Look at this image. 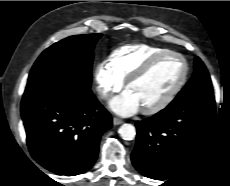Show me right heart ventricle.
<instances>
[{
	"instance_id": "e07e8e85",
	"label": "right heart ventricle",
	"mask_w": 230,
	"mask_h": 186,
	"mask_svg": "<svg viewBox=\"0 0 230 186\" xmlns=\"http://www.w3.org/2000/svg\"><path fill=\"white\" fill-rule=\"evenodd\" d=\"M167 50L149 44H127L111 52L109 65L115 74L125 82L149 58Z\"/></svg>"
}]
</instances>
